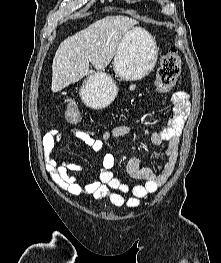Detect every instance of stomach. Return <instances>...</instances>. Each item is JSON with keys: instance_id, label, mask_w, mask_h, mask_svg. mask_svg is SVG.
Instances as JSON below:
<instances>
[{"instance_id": "obj_1", "label": "stomach", "mask_w": 221, "mask_h": 263, "mask_svg": "<svg viewBox=\"0 0 221 263\" xmlns=\"http://www.w3.org/2000/svg\"><path fill=\"white\" fill-rule=\"evenodd\" d=\"M157 57L158 47L152 36L142 28H133L120 41L113 69L123 80H140L153 70ZM117 93L113 78L102 71L91 73L80 89L83 102L92 109L108 107Z\"/></svg>"}]
</instances>
